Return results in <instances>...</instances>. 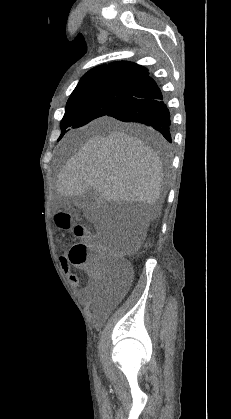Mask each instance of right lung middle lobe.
Listing matches in <instances>:
<instances>
[{"label":"right lung middle lobe","mask_w":231,"mask_h":419,"mask_svg":"<svg viewBox=\"0 0 231 419\" xmlns=\"http://www.w3.org/2000/svg\"><path fill=\"white\" fill-rule=\"evenodd\" d=\"M133 89V86L105 85L74 91L66 104V112L60 124L62 135L68 127H81L107 115L125 100Z\"/></svg>","instance_id":"right-lung-middle-lobe-1"}]
</instances>
